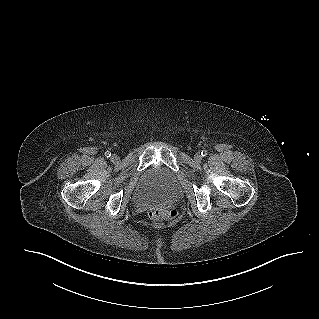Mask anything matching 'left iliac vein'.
Masks as SVG:
<instances>
[{
    "label": "left iliac vein",
    "mask_w": 319,
    "mask_h": 319,
    "mask_svg": "<svg viewBox=\"0 0 319 319\" xmlns=\"http://www.w3.org/2000/svg\"><path fill=\"white\" fill-rule=\"evenodd\" d=\"M194 159H195V161L200 162L202 160L201 154H199V153L195 154Z\"/></svg>",
    "instance_id": "obj_1"
}]
</instances>
